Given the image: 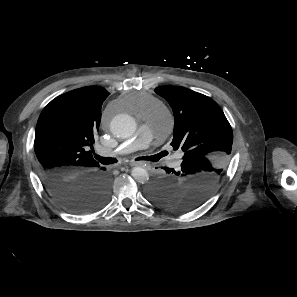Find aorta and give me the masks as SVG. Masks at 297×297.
<instances>
[{
  "instance_id": "1",
  "label": "aorta",
  "mask_w": 297,
  "mask_h": 297,
  "mask_svg": "<svg viewBox=\"0 0 297 297\" xmlns=\"http://www.w3.org/2000/svg\"><path fill=\"white\" fill-rule=\"evenodd\" d=\"M112 133L119 138H128L136 130L135 121L128 114H119L113 118L110 124ZM131 175L138 183L144 184L149 180V174L142 167H134Z\"/></svg>"
}]
</instances>
